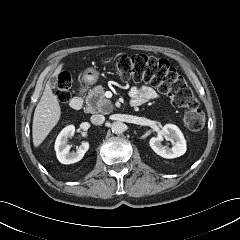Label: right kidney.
<instances>
[{"label": "right kidney", "mask_w": 240, "mask_h": 240, "mask_svg": "<svg viewBox=\"0 0 240 240\" xmlns=\"http://www.w3.org/2000/svg\"><path fill=\"white\" fill-rule=\"evenodd\" d=\"M75 126L65 127L57 136L55 141V151L57 159L62 164H73L80 161L89 149V143L83 141L77 148L76 152H70V146L67 144L68 139L74 136Z\"/></svg>", "instance_id": "ca27d5eb"}]
</instances>
